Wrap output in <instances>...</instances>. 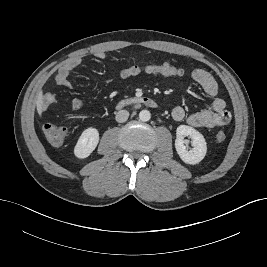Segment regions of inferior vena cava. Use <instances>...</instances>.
<instances>
[{
    "label": "inferior vena cava",
    "mask_w": 267,
    "mask_h": 267,
    "mask_svg": "<svg viewBox=\"0 0 267 267\" xmlns=\"http://www.w3.org/2000/svg\"><path fill=\"white\" fill-rule=\"evenodd\" d=\"M129 117V112L127 110H120L116 113V121L119 123L126 122Z\"/></svg>",
    "instance_id": "1"
}]
</instances>
